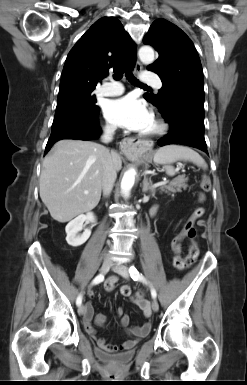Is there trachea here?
I'll return each instance as SVG.
<instances>
[{
    "label": "trachea",
    "instance_id": "trachea-1",
    "mask_svg": "<svg viewBox=\"0 0 247 385\" xmlns=\"http://www.w3.org/2000/svg\"><path fill=\"white\" fill-rule=\"evenodd\" d=\"M123 73H124V70H123V69L117 70V71L114 73V75H113L114 79H115V80H120V79L123 77ZM125 76H126L127 80H128L130 83H132V84L138 85V86H140V87L150 88V87L147 86L146 84L140 83V82L135 78V76L133 75V73L130 72V71H126Z\"/></svg>",
    "mask_w": 247,
    "mask_h": 385
}]
</instances>
